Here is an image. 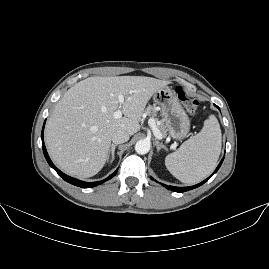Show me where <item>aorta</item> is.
I'll return each instance as SVG.
<instances>
[{"instance_id":"obj_1","label":"aorta","mask_w":269,"mask_h":269,"mask_svg":"<svg viewBox=\"0 0 269 269\" xmlns=\"http://www.w3.org/2000/svg\"><path fill=\"white\" fill-rule=\"evenodd\" d=\"M150 150V143L146 140H139L135 144V151L139 155H145L149 152Z\"/></svg>"}]
</instances>
